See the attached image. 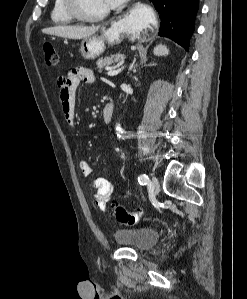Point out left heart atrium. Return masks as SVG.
Wrapping results in <instances>:
<instances>
[{"instance_id": "left-heart-atrium-1", "label": "left heart atrium", "mask_w": 247, "mask_h": 299, "mask_svg": "<svg viewBox=\"0 0 247 299\" xmlns=\"http://www.w3.org/2000/svg\"><path fill=\"white\" fill-rule=\"evenodd\" d=\"M123 1L125 0H106L109 8H115L119 6L121 3H123Z\"/></svg>"}]
</instances>
